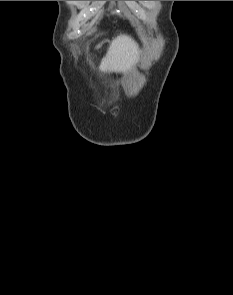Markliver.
Returning <instances> with one entry per match:
<instances>
[{"label": "liver", "instance_id": "6515ba94", "mask_svg": "<svg viewBox=\"0 0 233 295\" xmlns=\"http://www.w3.org/2000/svg\"><path fill=\"white\" fill-rule=\"evenodd\" d=\"M138 59V45L130 36L120 34L112 40L99 70L103 73H127L138 63Z\"/></svg>", "mask_w": 233, "mask_h": 295}]
</instances>
